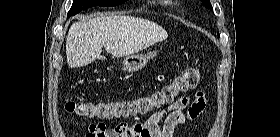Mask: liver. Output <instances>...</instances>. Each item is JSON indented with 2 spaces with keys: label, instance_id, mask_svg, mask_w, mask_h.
<instances>
[{
  "label": "liver",
  "instance_id": "1",
  "mask_svg": "<svg viewBox=\"0 0 280 137\" xmlns=\"http://www.w3.org/2000/svg\"><path fill=\"white\" fill-rule=\"evenodd\" d=\"M167 37L160 25L131 16H98L74 22L66 37L67 63L75 68L104 59L103 47L114 57L132 55Z\"/></svg>",
  "mask_w": 280,
  "mask_h": 137
}]
</instances>
